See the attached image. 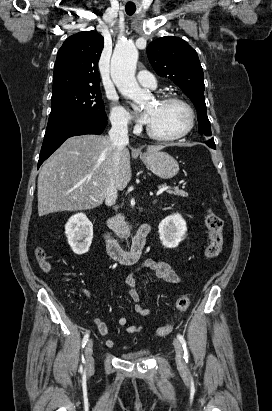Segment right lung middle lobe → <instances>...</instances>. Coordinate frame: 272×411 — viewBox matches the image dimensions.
Here are the masks:
<instances>
[{
  "label": "right lung middle lobe",
  "mask_w": 272,
  "mask_h": 411,
  "mask_svg": "<svg viewBox=\"0 0 272 411\" xmlns=\"http://www.w3.org/2000/svg\"><path fill=\"white\" fill-rule=\"evenodd\" d=\"M77 118L107 119L100 86L71 88L52 95L46 129Z\"/></svg>",
  "instance_id": "obj_1"
}]
</instances>
